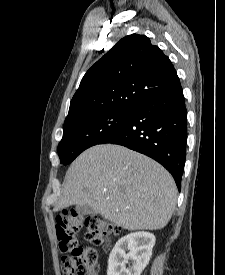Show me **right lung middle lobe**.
Returning <instances> with one entry per match:
<instances>
[{
  "instance_id": "1",
  "label": "right lung middle lobe",
  "mask_w": 225,
  "mask_h": 275,
  "mask_svg": "<svg viewBox=\"0 0 225 275\" xmlns=\"http://www.w3.org/2000/svg\"><path fill=\"white\" fill-rule=\"evenodd\" d=\"M132 110L102 112L76 119L63 126L58 145L60 162L68 164L87 148L99 144L121 126Z\"/></svg>"
}]
</instances>
